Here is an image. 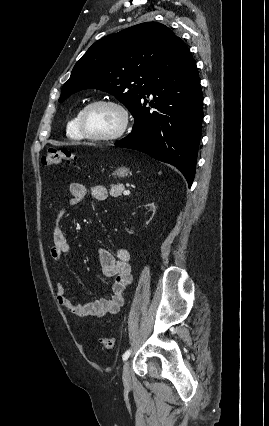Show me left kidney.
Instances as JSON below:
<instances>
[{
	"label": "left kidney",
	"instance_id": "left-kidney-1",
	"mask_svg": "<svg viewBox=\"0 0 269 426\" xmlns=\"http://www.w3.org/2000/svg\"><path fill=\"white\" fill-rule=\"evenodd\" d=\"M145 206L149 208V211H152V212L150 213L149 217L147 218V219H148V221H146V222H145V223H146V225H147V224L150 222V220L154 218V214H155V212H156L157 206H155V204H154V203H148V204H146ZM127 231H128V233H129V234H132V233H133V231H132V230H130V231H129V230H127Z\"/></svg>",
	"mask_w": 269,
	"mask_h": 426
}]
</instances>
